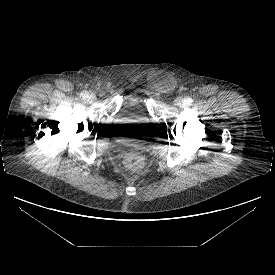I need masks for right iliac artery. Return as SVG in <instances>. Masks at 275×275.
I'll list each match as a JSON object with an SVG mask.
<instances>
[{"label":"right iliac artery","instance_id":"82829eb1","mask_svg":"<svg viewBox=\"0 0 275 275\" xmlns=\"http://www.w3.org/2000/svg\"><path fill=\"white\" fill-rule=\"evenodd\" d=\"M81 95H82L83 98L87 97L86 93H82Z\"/></svg>","mask_w":275,"mask_h":275}]
</instances>
